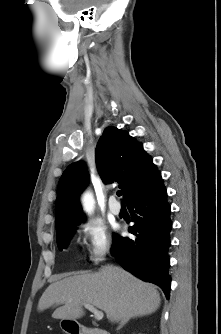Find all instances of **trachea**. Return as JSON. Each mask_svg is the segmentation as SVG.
Returning <instances> with one entry per match:
<instances>
[{"instance_id":"obj_1","label":"trachea","mask_w":221,"mask_h":334,"mask_svg":"<svg viewBox=\"0 0 221 334\" xmlns=\"http://www.w3.org/2000/svg\"><path fill=\"white\" fill-rule=\"evenodd\" d=\"M121 195H122V191L121 190L117 191V196H121Z\"/></svg>"}]
</instances>
